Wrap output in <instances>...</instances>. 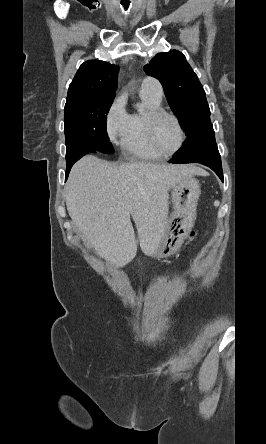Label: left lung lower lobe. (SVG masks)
<instances>
[{"label":"left lung lower lobe","instance_id":"obj_1","mask_svg":"<svg viewBox=\"0 0 266 444\" xmlns=\"http://www.w3.org/2000/svg\"><path fill=\"white\" fill-rule=\"evenodd\" d=\"M170 163H201L211 168L223 181L221 157L216 145L213 125L210 123L199 128L183 147L169 160Z\"/></svg>","mask_w":266,"mask_h":444}]
</instances>
